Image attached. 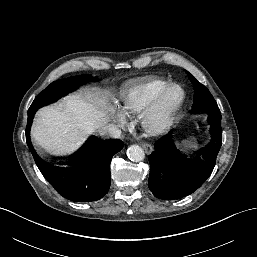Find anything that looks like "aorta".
<instances>
[{
  "label": "aorta",
  "mask_w": 257,
  "mask_h": 257,
  "mask_svg": "<svg viewBox=\"0 0 257 257\" xmlns=\"http://www.w3.org/2000/svg\"><path fill=\"white\" fill-rule=\"evenodd\" d=\"M127 156L131 161L139 162L145 158L143 149L138 145H131L127 149Z\"/></svg>",
  "instance_id": "obj_1"
}]
</instances>
